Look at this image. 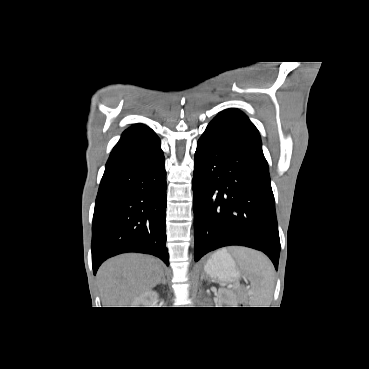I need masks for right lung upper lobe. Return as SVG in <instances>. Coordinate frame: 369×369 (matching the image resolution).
<instances>
[{
  "label": "right lung upper lobe",
  "mask_w": 369,
  "mask_h": 369,
  "mask_svg": "<svg viewBox=\"0 0 369 369\" xmlns=\"http://www.w3.org/2000/svg\"><path fill=\"white\" fill-rule=\"evenodd\" d=\"M150 129L149 127H147L144 124H135L133 126H131L130 128H128L127 130H125L122 134V136H127V135H131V134H135L144 130Z\"/></svg>",
  "instance_id": "cb5924a9"
}]
</instances>
